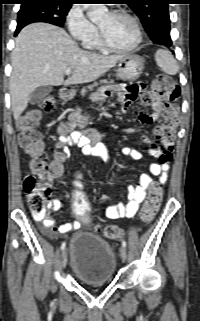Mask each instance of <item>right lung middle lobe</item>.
I'll use <instances>...</instances> for the list:
<instances>
[{"instance_id":"1","label":"right lung middle lobe","mask_w":200,"mask_h":321,"mask_svg":"<svg viewBox=\"0 0 200 321\" xmlns=\"http://www.w3.org/2000/svg\"><path fill=\"white\" fill-rule=\"evenodd\" d=\"M71 5L55 0H28L21 2L17 28L34 22H46L63 27Z\"/></svg>"}]
</instances>
